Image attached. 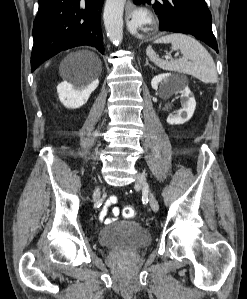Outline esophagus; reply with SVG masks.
I'll use <instances>...</instances> for the list:
<instances>
[{"mask_svg": "<svg viewBox=\"0 0 247 299\" xmlns=\"http://www.w3.org/2000/svg\"><path fill=\"white\" fill-rule=\"evenodd\" d=\"M126 8H127V9L132 8V2H131V0H128V2H127V4H126Z\"/></svg>", "mask_w": 247, "mask_h": 299, "instance_id": "34e87169", "label": "esophagus"}]
</instances>
